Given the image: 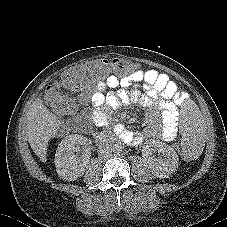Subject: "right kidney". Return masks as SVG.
<instances>
[{"mask_svg": "<svg viewBox=\"0 0 227 227\" xmlns=\"http://www.w3.org/2000/svg\"><path fill=\"white\" fill-rule=\"evenodd\" d=\"M88 143L86 137L78 134L66 136L60 142L55 154V166L61 179L74 181L84 174L90 160L89 148L80 157L75 155V152H80V146Z\"/></svg>", "mask_w": 227, "mask_h": 227, "instance_id": "right-kidney-1", "label": "right kidney"}]
</instances>
